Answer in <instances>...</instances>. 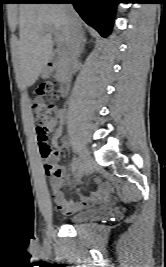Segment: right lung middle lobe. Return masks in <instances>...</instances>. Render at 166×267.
I'll return each instance as SVG.
<instances>
[{"instance_id": "dd1d6c3e", "label": "right lung middle lobe", "mask_w": 166, "mask_h": 267, "mask_svg": "<svg viewBox=\"0 0 166 267\" xmlns=\"http://www.w3.org/2000/svg\"><path fill=\"white\" fill-rule=\"evenodd\" d=\"M23 1H28V0H18V2H17V3H20V2H23Z\"/></svg>"}]
</instances>
